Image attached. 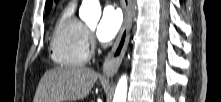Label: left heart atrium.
I'll use <instances>...</instances> for the list:
<instances>
[{"label":"left heart atrium","instance_id":"1","mask_svg":"<svg viewBox=\"0 0 221 102\" xmlns=\"http://www.w3.org/2000/svg\"><path fill=\"white\" fill-rule=\"evenodd\" d=\"M122 23L121 10L116 6H106L96 29L98 39L102 42L111 40L120 30Z\"/></svg>","mask_w":221,"mask_h":102}]
</instances>
